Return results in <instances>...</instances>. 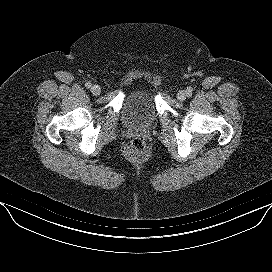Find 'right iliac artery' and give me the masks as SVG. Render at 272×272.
<instances>
[{"label":"right iliac artery","instance_id":"1","mask_svg":"<svg viewBox=\"0 0 272 272\" xmlns=\"http://www.w3.org/2000/svg\"><path fill=\"white\" fill-rule=\"evenodd\" d=\"M85 86H86V88H90V87H91V83H90V82H87V83L85 84Z\"/></svg>","mask_w":272,"mask_h":272}]
</instances>
